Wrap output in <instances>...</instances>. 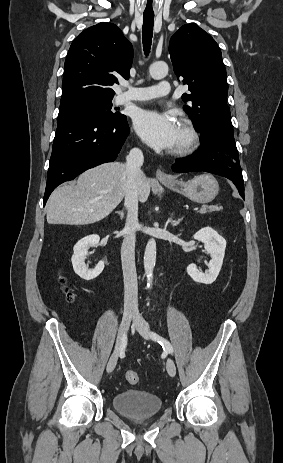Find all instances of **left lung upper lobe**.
<instances>
[{
  "instance_id": "5c2ea615",
  "label": "left lung upper lobe",
  "mask_w": 283,
  "mask_h": 463,
  "mask_svg": "<svg viewBox=\"0 0 283 463\" xmlns=\"http://www.w3.org/2000/svg\"><path fill=\"white\" fill-rule=\"evenodd\" d=\"M169 53L175 74L188 85L183 108L195 121V130L203 139L219 138L236 147L226 69L215 40L195 23L186 24L171 37Z\"/></svg>"
}]
</instances>
